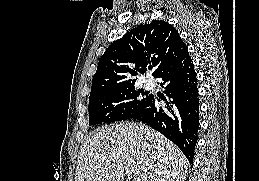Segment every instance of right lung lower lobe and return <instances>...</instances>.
I'll return each instance as SVG.
<instances>
[{
  "label": "right lung lower lobe",
  "mask_w": 259,
  "mask_h": 181,
  "mask_svg": "<svg viewBox=\"0 0 259 181\" xmlns=\"http://www.w3.org/2000/svg\"><path fill=\"white\" fill-rule=\"evenodd\" d=\"M156 78L166 89L164 107L160 99L149 95L146 105L132 118L147 123L175 143L193 165L194 148L199 128L197 78L188 52L164 69Z\"/></svg>",
  "instance_id": "98d812e1"
}]
</instances>
